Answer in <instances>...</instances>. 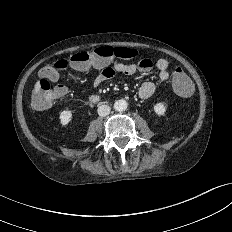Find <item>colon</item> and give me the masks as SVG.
I'll use <instances>...</instances> for the list:
<instances>
[{"label":"colon","instance_id":"obj_1","mask_svg":"<svg viewBox=\"0 0 232 232\" xmlns=\"http://www.w3.org/2000/svg\"><path fill=\"white\" fill-rule=\"evenodd\" d=\"M138 55V51L129 47H99L91 51H80L71 55L68 59H58L40 70V80L37 90L32 96L31 105L35 110H45L59 97L66 94L64 85L52 87L51 82L58 79L59 73L68 67L77 71H83L90 65L107 63L115 58L130 60ZM172 85L174 91L182 97L192 93L193 87L189 77L181 67H176L173 72Z\"/></svg>","mask_w":232,"mask_h":232}]
</instances>
